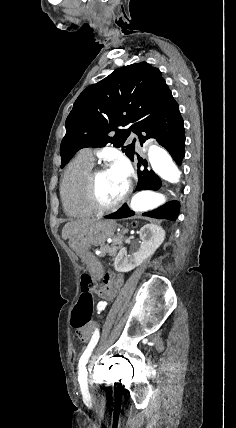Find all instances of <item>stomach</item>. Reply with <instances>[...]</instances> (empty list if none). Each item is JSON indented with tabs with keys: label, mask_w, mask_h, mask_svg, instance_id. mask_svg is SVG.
Listing matches in <instances>:
<instances>
[{
	"label": "stomach",
	"mask_w": 236,
	"mask_h": 428,
	"mask_svg": "<svg viewBox=\"0 0 236 428\" xmlns=\"http://www.w3.org/2000/svg\"><path fill=\"white\" fill-rule=\"evenodd\" d=\"M114 234V226L107 220H96L91 226H86L83 232L77 238H71L69 242L70 248L84 262L85 269H91V275H102L104 263L99 262L96 256H92L89 252L91 246H102L108 238H112Z\"/></svg>",
	"instance_id": "0dacf381"
}]
</instances>
